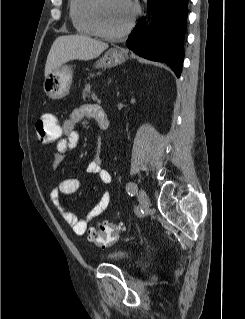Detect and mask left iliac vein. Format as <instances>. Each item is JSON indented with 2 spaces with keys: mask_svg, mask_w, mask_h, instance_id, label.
I'll use <instances>...</instances> for the list:
<instances>
[{
  "mask_svg": "<svg viewBox=\"0 0 245 319\" xmlns=\"http://www.w3.org/2000/svg\"><path fill=\"white\" fill-rule=\"evenodd\" d=\"M138 200L143 210H147L149 208L150 201L146 192L143 189H140L138 191Z\"/></svg>",
  "mask_w": 245,
  "mask_h": 319,
  "instance_id": "left-iliac-vein-1",
  "label": "left iliac vein"
}]
</instances>
